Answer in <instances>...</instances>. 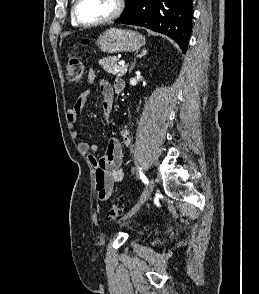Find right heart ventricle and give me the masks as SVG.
<instances>
[{
	"label": "right heart ventricle",
	"mask_w": 259,
	"mask_h": 294,
	"mask_svg": "<svg viewBox=\"0 0 259 294\" xmlns=\"http://www.w3.org/2000/svg\"><path fill=\"white\" fill-rule=\"evenodd\" d=\"M72 24H73L74 26H76V24L73 22V20H72Z\"/></svg>",
	"instance_id": "right-heart-ventricle-1"
}]
</instances>
